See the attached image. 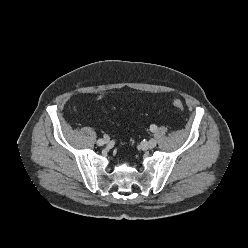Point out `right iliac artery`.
Returning <instances> with one entry per match:
<instances>
[{"mask_svg": "<svg viewBox=\"0 0 248 248\" xmlns=\"http://www.w3.org/2000/svg\"><path fill=\"white\" fill-rule=\"evenodd\" d=\"M95 145L96 146H101L102 145V140L101 139H96L95 140Z\"/></svg>", "mask_w": 248, "mask_h": 248, "instance_id": "right-iliac-artery-1", "label": "right iliac artery"}]
</instances>
